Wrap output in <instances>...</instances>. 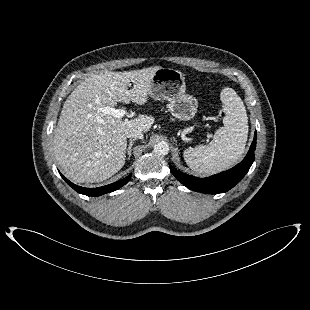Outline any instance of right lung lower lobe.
<instances>
[{
	"label": "right lung lower lobe",
	"mask_w": 310,
	"mask_h": 310,
	"mask_svg": "<svg viewBox=\"0 0 310 310\" xmlns=\"http://www.w3.org/2000/svg\"><path fill=\"white\" fill-rule=\"evenodd\" d=\"M61 176L68 183V185L71 186L75 191H77L80 194L87 195V196H100V195L115 191L119 189L120 187H122L123 185H125L131 178V174H130L126 178L120 181H117L115 183H112V184H109L103 187L84 188V187H80V186L73 184L68 179H66L62 174Z\"/></svg>",
	"instance_id": "right-lung-lower-lobe-1"
}]
</instances>
